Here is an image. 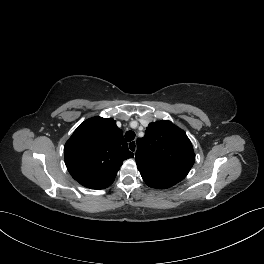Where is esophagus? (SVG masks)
<instances>
[{"mask_svg":"<svg viewBox=\"0 0 264 264\" xmlns=\"http://www.w3.org/2000/svg\"><path fill=\"white\" fill-rule=\"evenodd\" d=\"M128 148L131 152L136 153L137 150V144L136 141H131L128 143Z\"/></svg>","mask_w":264,"mask_h":264,"instance_id":"1","label":"esophagus"}]
</instances>
